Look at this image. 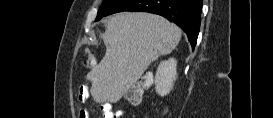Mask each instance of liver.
<instances>
[{
	"instance_id": "1",
	"label": "liver",
	"mask_w": 273,
	"mask_h": 118,
	"mask_svg": "<svg viewBox=\"0 0 273 118\" xmlns=\"http://www.w3.org/2000/svg\"><path fill=\"white\" fill-rule=\"evenodd\" d=\"M181 30L165 18L145 12H122L108 19L106 53L87 75L98 103L117 102L160 55L178 45Z\"/></svg>"
}]
</instances>
